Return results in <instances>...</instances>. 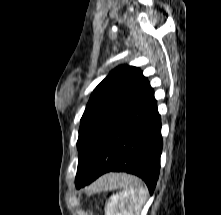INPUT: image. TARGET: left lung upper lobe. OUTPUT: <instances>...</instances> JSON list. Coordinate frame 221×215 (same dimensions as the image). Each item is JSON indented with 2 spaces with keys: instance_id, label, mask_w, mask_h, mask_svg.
Segmentation results:
<instances>
[{
  "instance_id": "obj_1",
  "label": "left lung upper lobe",
  "mask_w": 221,
  "mask_h": 215,
  "mask_svg": "<svg viewBox=\"0 0 221 215\" xmlns=\"http://www.w3.org/2000/svg\"><path fill=\"white\" fill-rule=\"evenodd\" d=\"M148 83L139 68L123 65L110 72L94 89L80 122L75 181L85 177L115 119L140 96Z\"/></svg>"
}]
</instances>
